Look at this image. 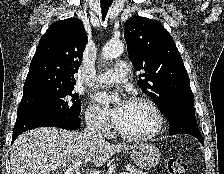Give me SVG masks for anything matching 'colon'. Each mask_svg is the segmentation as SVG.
Returning a JSON list of instances; mask_svg holds the SVG:
<instances>
[{"instance_id":"colon-1","label":"colon","mask_w":224,"mask_h":174,"mask_svg":"<svg viewBox=\"0 0 224 174\" xmlns=\"http://www.w3.org/2000/svg\"><path fill=\"white\" fill-rule=\"evenodd\" d=\"M166 166L168 174H186V164L181 158L177 156L168 158Z\"/></svg>"}]
</instances>
